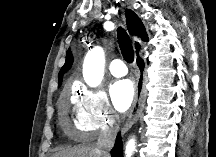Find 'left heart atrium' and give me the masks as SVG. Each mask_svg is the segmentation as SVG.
<instances>
[{
  "instance_id": "1",
  "label": "left heart atrium",
  "mask_w": 216,
  "mask_h": 157,
  "mask_svg": "<svg viewBox=\"0 0 216 157\" xmlns=\"http://www.w3.org/2000/svg\"><path fill=\"white\" fill-rule=\"evenodd\" d=\"M110 95L114 107L119 112H125L131 106L135 97V88L130 80H120L115 82L111 89Z\"/></svg>"
}]
</instances>
